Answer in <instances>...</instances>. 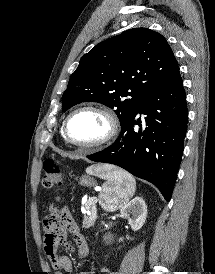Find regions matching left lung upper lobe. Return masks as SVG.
<instances>
[{
    "label": "left lung upper lobe",
    "instance_id": "obj_1",
    "mask_svg": "<svg viewBox=\"0 0 215 274\" xmlns=\"http://www.w3.org/2000/svg\"><path fill=\"white\" fill-rule=\"evenodd\" d=\"M178 71L173 51L161 34L146 28L124 31L80 59L62 96V111L82 102H98L116 108L122 125L149 92Z\"/></svg>",
    "mask_w": 215,
    "mask_h": 274
}]
</instances>
